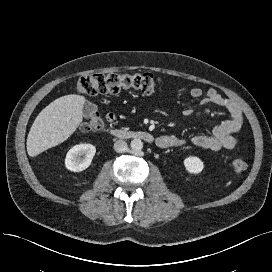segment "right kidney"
I'll return each instance as SVG.
<instances>
[{
    "label": "right kidney",
    "instance_id": "obj_1",
    "mask_svg": "<svg viewBox=\"0 0 272 272\" xmlns=\"http://www.w3.org/2000/svg\"><path fill=\"white\" fill-rule=\"evenodd\" d=\"M95 153L96 148L92 144L75 145L66 154L65 166L72 172L83 171L90 166Z\"/></svg>",
    "mask_w": 272,
    "mask_h": 272
}]
</instances>
